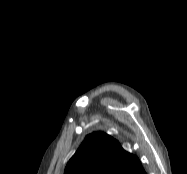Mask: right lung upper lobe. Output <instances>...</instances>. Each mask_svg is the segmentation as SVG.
<instances>
[{
	"label": "right lung upper lobe",
	"instance_id": "1",
	"mask_svg": "<svg viewBox=\"0 0 187 174\" xmlns=\"http://www.w3.org/2000/svg\"><path fill=\"white\" fill-rule=\"evenodd\" d=\"M64 174H146L137 156L101 132L86 136Z\"/></svg>",
	"mask_w": 187,
	"mask_h": 174
}]
</instances>
